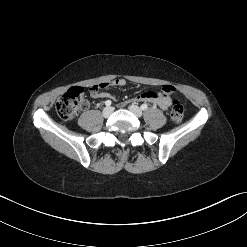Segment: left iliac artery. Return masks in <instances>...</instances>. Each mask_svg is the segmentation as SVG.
Segmentation results:
<instances>
[{
  "mask_svg": "<svg viewBox=\"0 0 247 247\" xmlns=\"http://www.w3.org/2000/svg\"><path fill=\"white\" fill-rule=\"evenodd\" d=\"M147 108H148V105H147V104H142V105H141V109H142V110H146Z\"/></svg>",
  "mask_w": 247,
  "mask_h": 247,
  "instance_id": "left-iliac-artery-1",
  "label": "left iliac artery"
}]
</instances>
